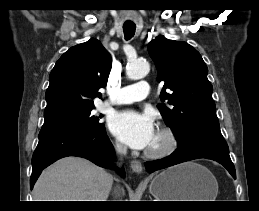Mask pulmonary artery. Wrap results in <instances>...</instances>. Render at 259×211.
Masks as SVG:
<instances>
[{
	"label": "pulmonary artery",
	"mask_w": 259,
	"mask_h": 211,
	"mask_svg": "<svg viewBox=\"0 0 259 211\" xmlns=\"http://www.w3.org/2000/svg\"><path fill=\"white\" fill-rule=\"evenodd\" d=\"M149 95V85L146 81H140L133 85L121 88L110 100L111 104H130L146 99Z\"/></svg>",
	"instance_id": "1"
}]
</instances>
